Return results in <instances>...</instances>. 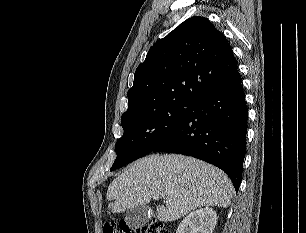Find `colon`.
Masks as SVG:
<instances>
[{
  "mask_svg": "<svg viewBox=\"0 0 306 233\" xmlns=\"http://www.w3.org/2000/svg\"><path fill=\"white\" fill-rule=\"evenodd\" d=\"M103 233H171L159 220L150 221L140 227H132L125 221L109 222L103 227Z\"/></svg>",
  "mask_w": 306,
  "mask_h": 233,
  "instance_id": "colon-1",
  "label": "colon"
}]
</instances>
